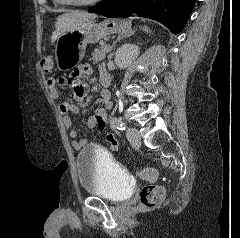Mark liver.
Returning <instances> with one entry per match:
<instances>
[{
  "label": "liver",
  "instance_id": "obj_1",
  "mask_svg": "<svg viewBox=\"0 0 240 238\" xmlns=\"http://www.w3.org/2000/svg\"><path fill=\"white\" fill-rule=\"evenodd\" d=\"M96 18V14L79 11L60 15L55 24V31L51 36V42L54 43L60 34L75 30L89 21H94Z\"/></svg>",
  "mask_w": 240,
  "mask_h": 238
}]
</instances>
